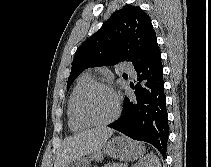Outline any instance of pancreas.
Masks as SVG:
<instances>
[{
    "label": "pancreas",
    "mask_w": 211,
    "mask_h": 167,
    "mask_svg": "<svg viewBox=\"0 0 211 167\" xmlns=\"http://www.w3.org/2000/svg\"><path fill=\"white\" fill-rule=\"evenodd\" d=\"M103 167H124L122 164H118V163H108L106 165H104Z\"/></svg>",
    "instance_id": "1"
}]
</instances>
